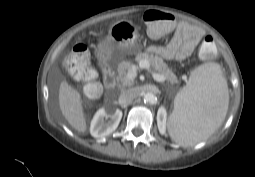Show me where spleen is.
I'll return each instance as SVG.
<instances>
[{"label":"spleen","instance_id":"obj_1","mask_svg":"<svg viewBox=\"0 0 255 177\" xmlns=\"http://www.w3.org/2000/svg\"><path fill=\"white\" fill-rule=\"evenodd\" d=\"M228 104V85L220 66H198L175 97V109L168 120L170 137L184 147L205 140L225 119Z\"/></svg>","mask_w":255,"mask_h":177}]
</instances>
